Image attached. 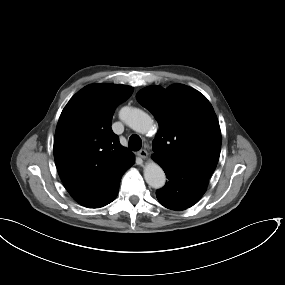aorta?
Wrapping results in <instances>:
<instances>
[{
    "label": "aorta",
    "mask_w": 285,
    "mask_h": 285,
    "mask_svg": "<svg viewBox=\"0 0 285 285\" xmlns=\"http://www.w3.org/2000/svg\"><path fill=\"white\" fill-rule=\"evenodd\" d=\"M120 119L131 129L146 134L153 128L152 118L138 108L123 107L119 113ZM144 178L152 188L159 189L165 185L166 176L163 169L154 161L144 167Z\"/></svg>",
    "instance_id": "1"
}]
</instances>
